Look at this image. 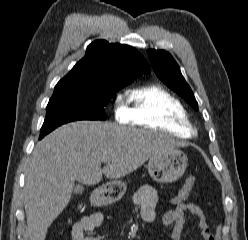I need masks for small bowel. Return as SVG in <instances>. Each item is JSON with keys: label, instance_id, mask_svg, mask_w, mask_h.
I'll list each match as a JSON object with an SVG mask.
<instances>
[{"label": "small bowel", "instance_id": "1", "mask_svg": "<svg viewBox=\"0 0 248 240\" xmlns=\"http://www.w3.org/2000/svg\"><path fill=\"white\" fill-rule=\"evenodd\" d=\"M134 202L139 206L141 217L147 224H152L156 220V205L158 202V194L154 187L144 185L140 187L134 194ZM192 214L197 219L198 227L204 240H216L211 232L206 217L202 209L195 203L183 202L172 210L167 211L162 218L165 226H171L172 240H181L185 213ZM103 221V214L100 212L92 213L82 217L76 222L71 231L72 240H100L98 237L89 235V233L100 225Z\"/></svg>", "mask_w": 248, "mask_h": 240}]
</instances>
